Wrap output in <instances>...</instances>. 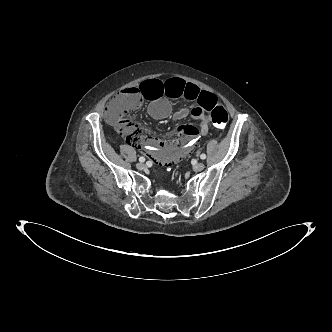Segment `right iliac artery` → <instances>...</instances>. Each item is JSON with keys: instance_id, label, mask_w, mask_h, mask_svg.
Here are the masks:
<instances>
[{"instance_id": "82829eb1", "label": "right iliac artery", "mask_w": 332, "mask_h": 332, "mask_svg": "<svg viewBox=\"0 0 332 332\" xmlns=\"http://www.w3.org/2000/svg\"><path fill=\"white\" fill-rule=\"evenodd\" d=\"M139 161L143 163V162H145V158L141 156V157L139 158Z\"/></svg>"}]
</instances>
